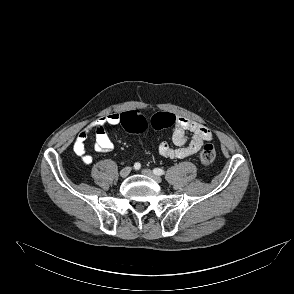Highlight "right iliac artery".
I'll use <instances>...</instances> for the list:
<instances>
[{
    "instance_id": "82829eb1",
    "label": "right iliac artery",
    "mask_w": 294,
    "mask_h": 294,
    "mask_svg": "<svg viewBox=\"0 0 294 294\" xmlns=\"http://www.w3.org/2000/svg\"><path fill=\"white\" fill-rule=\"evenodd\" d=\"M140 167H141L140 163L137 162V163L134 164V169L135 170L140 169Z\"/></svg>"
}]
</instances>
